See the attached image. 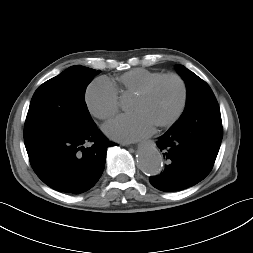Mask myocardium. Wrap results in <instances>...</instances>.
I'll return each instance as SVG.
<instances>
[{"label": "myocardium", "mask_w": 253, "mask_h": 253, "mask_svg": "<svg viewBox=\"0 0 253 253\" xmlns=\"http://www.w3.org/2000/svg\"><path fill=\"white\" fill-rule=\"evenodd\" d=\"M165 79H173L178 82L180 89H181V97H180V102L179 105L174 112V114L165 122H162L158 125H156L158 128H168L172 126L177 120L181 117L183 114L186 104H187V98H188V88L186 81L176 73H165L162 74L151 81H149L146 85H144L135 95L134 97L142 98L145 97L150 93V91L161 81Z\"/></svg>", "instance_id": "myocardium-1"}]
</instances>
